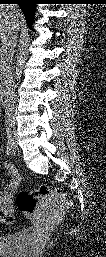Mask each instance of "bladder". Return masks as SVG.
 I'll use <instances>...</instances> for the list:
<instances>
[{"label": "bladder", "instance_id": "1", "mask_svg": "<svg viewBox=\"0 0 106 257\" xmlns=\"http://www.w3.org/2000/svg\"><path fill=\"white\" fill-rule=\"evenodd\" d=\"M30 233L19 231L0 237V255L3 257H24L30 244Z\"/></svg>", "mask_w": 106, "mask_h": 257}]
</instances>
